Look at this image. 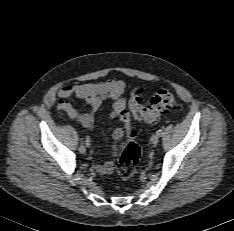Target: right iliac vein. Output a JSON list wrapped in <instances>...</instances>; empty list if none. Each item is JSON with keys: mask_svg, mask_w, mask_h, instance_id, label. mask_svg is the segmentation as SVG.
Masks as SVG:
<instances>
[{"mask_svg": "<svg viewBox=\"0 0 234 231\" xmlns=\"http://www.w3.org/2000/svg\"><path fill=\"white\" fill-rule=\"evenodd\" d=\"M79 152L82 153V154H84V153L86 152L85 146L81 145V146L79 147Z\"/></svg>", "mask_w": 234, "mask_h": 231, "instance_id": "1", "label": "right iliac vein"}]
</instances>
